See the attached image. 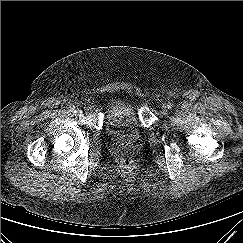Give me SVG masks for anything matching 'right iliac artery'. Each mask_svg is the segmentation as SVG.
Instances as JSON below:
<instances>
[{
  "label": "right iliac artery",
  "mask_w": 243,
  "mask_h": 243,
  "mask_svg": "<svg viewBox=\"0 0 243 243\" xmlns=\"http://www.w3.org/2000/svg\"><path fill=\"white\" fill-rule=\"evenodd\" d=\"M76 111H77V109H75V107H72V108L70 109V112L73 113V114H76Z\"/></svg>",
  "instance_id": "obj_1"
}]
</instances>
